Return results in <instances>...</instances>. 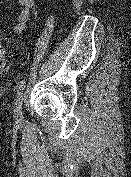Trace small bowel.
Masks as SVG:
<instances>
[{"label": "small bowel", "mask_w": 131, "mask_h": 177, "mask_svg": "<svg viewBox=\"0 0 131 177\" xmlns=\"http://www.w3.org/2000/svg\"><path fill=\"white\" fill-rule=\"evenodd\" d=\"M35 0H18L20 12L17 15L13 32L17 35L24 33L30 17V11L34 5Z\"/></svg>", "instance_id": "small-bowel-1"}]
</instances>
